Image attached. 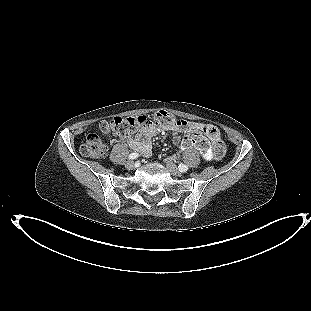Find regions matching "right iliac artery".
Segmentation results:
<instances>
[{"instance_id": "1", "label": "right iliac artery", "mask_w": 311, "mask_h": 311, "mask_svg": "<svg viewBox=\"0 0 311 311\" xmlns=\"http://www.w3.org/2000/svg\"><path fill=\"white\" fill-rule=\"evenodd\" d=\"M138 156L139 155L137 153H131L128 158L129 159H136Z\"/></svg>"}]
</instances>
